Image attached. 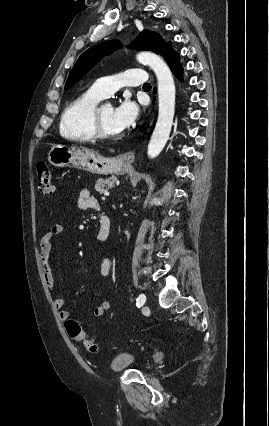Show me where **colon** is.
<instances>
[{"instance_id": "colon-1", "label": "colon", "mask_w": 269, "mask_h": 426, "mask_svg": "<svg viewBox=\"0 0 269 426\" xmlns=\"http://www.w3.org/2000/svg\"><path fill=\"white\" fill-rule=\"evenodd\" d=\"M37 184L39 191L43 194H51L54 191L52 174L45 161H40L37 164ZM65 328L69 337L83 345L88 351L96 352L98 350L97 343L82 331L80 324L76 320L67 319Z\"/></svg>"}]
</instances>
